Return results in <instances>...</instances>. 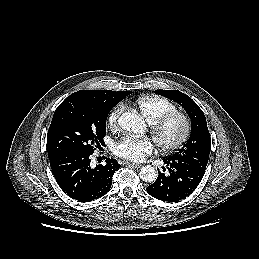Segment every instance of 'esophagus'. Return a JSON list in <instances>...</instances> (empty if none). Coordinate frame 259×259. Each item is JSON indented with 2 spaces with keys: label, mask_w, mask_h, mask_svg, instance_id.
Wrapping results in <instances>:
<instances>
[{
  "label": "esophagus",
  "mask_w": 259,
  "mask_h": 259,
  "mask_svg": "<svg viewBox=\"0 0 259 259\" xmlns=\"http://www.w3.org/2000/svg\"><path fill=\"white\" fill-rule=\"evenodd\" d=\"M124 164L131 166L133 168H140L142 165L141 164H136V163H131V162H124Z\"/></svg>",
  "instance_id": "esophagus-1"
}]
</instances>
